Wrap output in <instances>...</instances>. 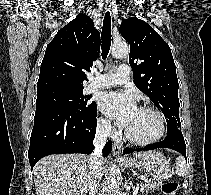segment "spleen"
Returning <instances> with one entry per match:
<instances>
[{
  "label": "spleen",
  "mask_w": 211,
  "mask_h": 195,
  "mask_svg": "<svg viewBox=\"0 0 211 195\" xmlns=\"http://www.w3.org/2000/svg\"><path fill=\"white\" fill-rule=\"evenodd\" d=\"M176 173L178 176H183L186 172V163L185 159L182 156H179L176 159Z\"/></svg>",
  "instance_id": "obj_1"
}]
</instances>
